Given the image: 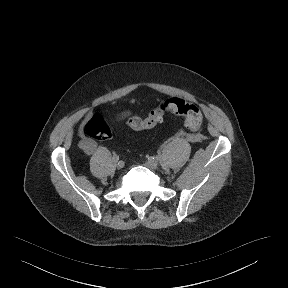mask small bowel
Returning a JSON list of instances; mask_svg holds the SVG:
<instances>
[{"label": "small bowel", "instance_id": "small-bowel-1", "mask_svg": "<svg viewBox=\"0 0 288 288\" xmlns=\"http://www.w3.org/2000/svg\"><path fill=\"white\" fill-rule=\"evenodd\" d=\"M95 148V145L92 144V143H87L85 146H84V151L87 153V154H91L93 152Z\"/></svg>", "mask_w": 288, "mask_h": 288}]
</instances>
